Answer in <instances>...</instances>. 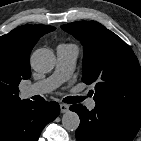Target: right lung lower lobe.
<instances>
[{"instance_id": "right-lung-lower-lobe-1", "label": "right lung lower lobe", "mask_w": 141, "mask_h": 141, "mask_svg": "<svg viewBox=\"0 0 141 141\" xmlns=\"http://www.w3.org/2000/svg\"><path fill=\"white\" fill-rule=\"evenodd\" d=\"M59 113L54 101H25L0 116V141H38L43 128Z\"/></svg>"}]
</instances>
